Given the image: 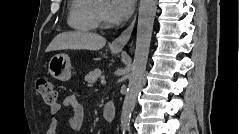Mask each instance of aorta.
Returning a JSON list of instances; mask_svg holds the SVG:
<instances>
[{"mask_svg": "<svg viewBox=\"0 0 239 134\" xmlns=\"http://www.w3.org/2000/svg\"><path fill=\"white\" fill-rule=\"evenodd\" d=\"M156 11L157 0H140L134 60L121 112L123 134L130 126L131 113L146 70Z\"/></svg>", "mask_w": 239, "mask_h": 134, "instance_id": "1", "label": "aorta"}]
</instances>
